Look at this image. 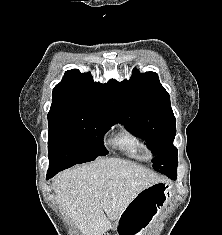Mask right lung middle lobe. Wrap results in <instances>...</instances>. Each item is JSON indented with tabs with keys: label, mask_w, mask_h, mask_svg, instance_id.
I'll return each instance as SVG.
<instances>
[{
	"label": "right lung middle lobe",
	"mask_w": 222,
	"mask_h": 235,
	"mask_svg": "<svg viewBox=\"0 0 222 235\" xmlns=\"http://www.w3.org/2000/svg\"><path fill=\"white\" fill-rule=\"evenodd\" d=\"M116 122V119L91 113L48 115L47 173L59 172L75 164L107 155L102 137Z\"/></svg>",
	"instance_id": "obj_1"
}]
</instances>
